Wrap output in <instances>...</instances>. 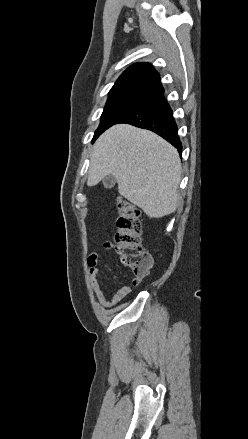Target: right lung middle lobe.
Wrapping results in <instances>:
<instances>
[{
    "instance_id": "1",
    "label": "right lung middle lobe",
    "mask_w": 248,
    "mask_h": 439,
    "mask_svg": "<svg viewBox=\"0 0 248 439\" xmlns=\"http://www.w3.org/2000/svg\"><path fill=\"white\" fill-rule=\"evenodd\" d=\"M151 99L152 98L148 96L138 94H117L109 96L101 115L100 125L96 130L92 141H94L106 129L116 124Z\"/></svg>"
}]
</instances>
